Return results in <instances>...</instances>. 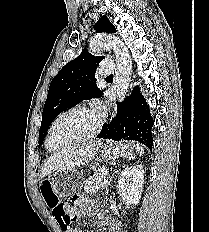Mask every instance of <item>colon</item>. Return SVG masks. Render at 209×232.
I'll return each instance as SVG.
<instances>
[{
	"label": "colon",
	"instance_id": "colon-1",
	"mask_svg": "<svg viewBox=\"0 0 209 232\" xmlns=\"http://www.w3.org/2000/svg\"><path fill=\"white\" fill-rule=\"evenodd\" d=\"M41 193L47 205L52 210V214L57 221V226L67 229L72 222V213L66 212L64 208L65 203L60 201L57 194L53 191L50 182L45 181L42 183Z\"/></svg>",
	"mask_w": 209,
	"mask_h": 232
}]
</instances>
